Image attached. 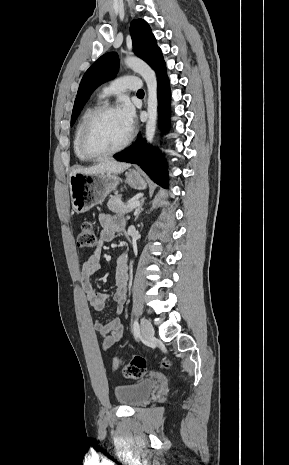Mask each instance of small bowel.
I'll use <instances>...</instances> for the list:
<instances>
[{
    "label": "small bowel",
    "mask_w": 289,
    "mask_h": 465,
    "mask_svg": "<svg viewBox=\"0 0 289 465\" xmlns=\"http://www.w3.org/2000/svg\"><path fill=\"white\" fill-rule=\"evenodd\" d=\"M99 221L102 230L99 236L98 247L93 254L83 259L80 270V281L87 300L95 312L102 311L111 298L115 303L116 314H121L126 299L128 259L124 260L121 255L117 260L115 289L112 294L97 292L93 287L92 277L101 267V246L115 238L116 234L123 229L124 222L119 216L109 214H101L99 216ZM94 326L103 337L102 347L104 350L112 348L122 339L124 334V327L118 317L108 322L96 320Z\"/></svg>",
    "instance_id": "obj_1"
}]
</instances>
